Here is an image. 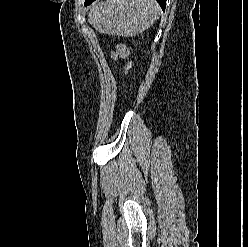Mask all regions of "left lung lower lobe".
<instances>
[{
    "label": "left lung lower lobe",
    "mask_w": 248,
    "mask_h": 247,
    "mask_svg": "<svg viewBox=\"0 0 248 247\" xmlns=\"http://www.w3.org/2000/svg\"><path fill=\"white\" fill-rule=\"evenodd\" d=\"M93 1H95V0H85L84 5H85V6H88V5H90ZM156 1L160 4L161 8L164 10L165 7H166V0H156Z\"/></svg>",
    "instance_id": "0a47b994"
}]
</instances>
